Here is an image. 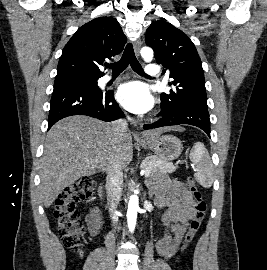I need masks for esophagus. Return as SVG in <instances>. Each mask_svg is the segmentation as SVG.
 <instances>
[{
    "mask_svg": "<svg viewBox=\"0 0 267 270\" xmlns=\"http://www.w3.org/2000/svg\"><path fill=\"white\" fill-rule=\"evenodd\" d=\"M141 44L142 43H141V40L140 39H138V40H136L134 42V52H135L136 56H139ZM135 136L138 137L139 136V132L136 131Z\"/></svg>",
    "mask_w": 267,
    "mask_h": 270,
    "instance_id": "34e87169",
    "label": "esophagus"
}]
</instances>
